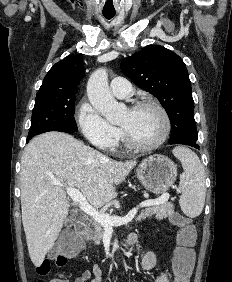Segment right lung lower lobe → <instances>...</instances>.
Wrapping results in <instances>:
<instances>
[{
	"label": "right lung lower lobe",
	"instance_id": "right-lung-lower-lobe-1",
	"mask_svg": "<svg viewBox=\"0 0 232 282\" xmlns=\"http://www.w3.org/2000/svg\"><path fill=\"white\" fill-rule=\"evenodd\" d=\"M49 131H61V132H67V133H72L73 131H71V130H68V129H66V128H63V127H55V128H53V129H51V130H49ZM29 140H27V142H28Z\"/></svg>",
	"mask_w": 232,
	"mask_h": 282
}]
</instances>
